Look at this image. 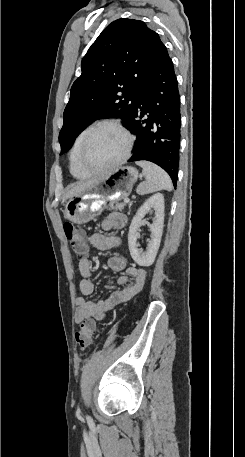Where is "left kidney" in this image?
I'll list each match as a JSON object with an SVG mask.
<instances>
[{"label": "left kidney", "mask_w": 245, "mask_h": 457, "mask_svg": "<svg viewBox=\"0 0 245 457\" xmlns=\"http://www.w3.org/2000/svg\"><path fill=\"white\" fill-rule=\"evenodd\" d=\"M154 216L152 224H148L149 231H151V239L147 245L146 251L144 249H138L139 245L137 239H140L137 231H139V226L142 218H144L147 212H153ZM164 196L161 192H155L150 198H147L146 202L138 208L135 216L132 218V222L129 226L128 233V247L130 255L140 267H150L155 261V257L158 253L160 247L163 226H164Z\"/></svg>", "instance_id": "left-kidney-1"}]
</instances>
